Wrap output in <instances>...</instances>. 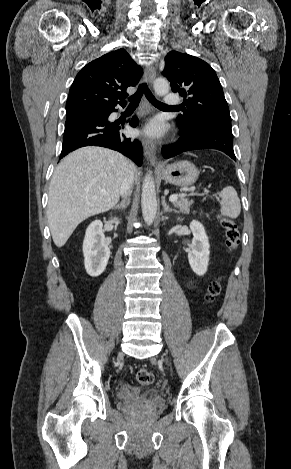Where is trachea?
<instances>
[{"label":"trachea","instance_id":"1","mask_svg":"<svg viewBox=\"0 0 291 469\" xmlns=\"http://www.w3.org/2000/svg\"><path fill=\"white\" fill-rule=\"evenodd\" d=\"M143 93L145 94L147 99L156 107H162V108H177V107H179V106L170 107V106H167L166 104L158 101L153 96V94L149 90L146 83L140 84L139 87H138L137 92L129 98L130 103H129L128 107L129 108H136L139 105V102L141 100V97H142Z\"/></svg>","mask_w":291,"mask_h":469}]
</instances>
